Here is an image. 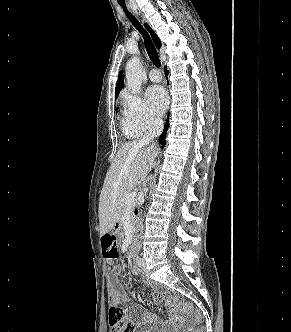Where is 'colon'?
<instances>
[{
  "mask_svg": "<svg viewBox=\"0 0 291 332\" xmlns=\"http://www.w3.org/2000/svg\"><path fill=\"white\" fill-rule=\"evenodd\" d=\"M101 243L105 258L110 261L118 259L120 241L114 233L104 234L101 238ZM168 305L175 311H180L186 315H189L192 325H197L199 323L200 314L191 304L183 301H176L175 299L170 298ZM108 317L110 326L112 327V332H133L132 326L123 322V310L117 305V301L110 307ZM191 332L199 331L195 329Z\"/></svg>",
  "mask_w": 291,
  "mask_h": 332,
  "instance_id": "5ec220e1",
  "label": "colon"
}]
</instances>
